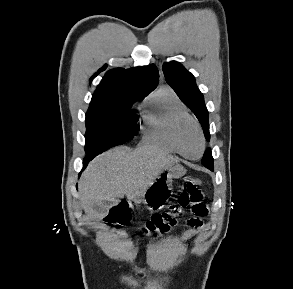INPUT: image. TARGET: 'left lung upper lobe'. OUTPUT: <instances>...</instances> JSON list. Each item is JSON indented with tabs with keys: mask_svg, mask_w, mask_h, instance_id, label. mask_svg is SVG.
<instances>
[{
	"mask_svg": "<svg viewBox=\"0 0 293 289\" xmlns=\"http://www.w3.org/2000/svg\"><path fill=\"white\" fill-rule=\"evenodd\" d=\"M162 68L167 83L195 114L202 125L206 139L209 141L208 110L204 103L203 94L196 85L195 77L176 61L164 63ZM201 163L213 171L214 161L210 148L205 151Z\"/></svg>",
	"mask_w": 293,
	"mask_h": 289,
	"instance_id": "obj_1",
	"label": "left lung upper lobe"
}]
</instances>
